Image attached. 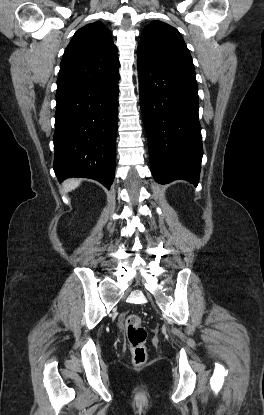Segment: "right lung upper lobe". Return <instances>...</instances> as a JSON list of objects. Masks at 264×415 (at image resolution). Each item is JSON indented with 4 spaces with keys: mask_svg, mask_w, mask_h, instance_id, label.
Wrapping results in <instances>:
<instances>
[{
    "mask_svg": "<svg viewBox=\"0 0 264 415\" xmlns=\"http://www.w3.org/2000/svg\"><path fill=\"white\" fill-rule=\"evenodd\" d=\"M120 63L112 34L101 22L80 28L60 65L57 91L103 81L118 74Z\"/></svg>",
    "mask_w": 264,
    "mask_h": 415,
    "instance_id": "obj_1",
    "label": "right lung upper lobe"
}]
</instances>
